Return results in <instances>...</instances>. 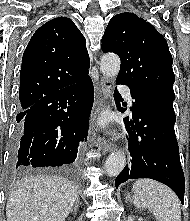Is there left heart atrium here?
Masks as SVG:
<instances>
[{"instance_id": "39dd6f15", "label": "left heart atrium", "mask_w": 190, "mask_h": 221, "mask_svg": "<svg viewBox=\"0 0 190 221\" xmlns=\"http://www.w3.org/2000/svg\"><path fill=\"white\" fill-rule=\"evenodd\" d=\"M101 123L104 124V123H105V120H102Z\"/></svg>"}]
</instances>
